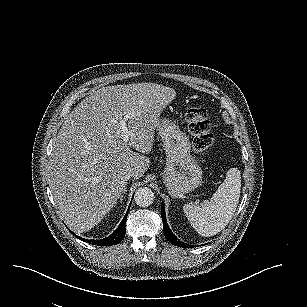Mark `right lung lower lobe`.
Listing matches in <instances>:
<instances>
[{
	"label": "right lung lower lobe",
	"mask_w": 307,
	"mask_h": 307,
	"mask_svg": "<svg viewBox=\"0 0 307 307\" xmlns=\"http://www.w3.org/2000/svg\"><path fill=\"white\" fill-rule=\"evenodd\" d=\"M129 211V209H128ZM128 211L125 214L123 220L121 221L120 225L118 226V228L108 237L104 238V239H100V240H88V239H84L81 238L77 235H75V237H77L78 239L87 242V243H91L97 246H111V245H116L118 244L120 241L123 240L124 236H125V221H126V217L128 215Z\"/></svg>",
	"instance_id": "right-lung-lower-lobe-1"
}]
</instances>
